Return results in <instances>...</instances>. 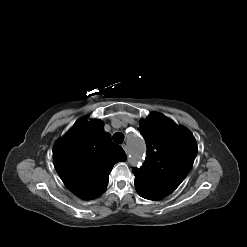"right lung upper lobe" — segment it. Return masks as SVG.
I'll use <instances>...</instances> for the list:
<instances>
[{"label":"right lung upper lobe","mask_w":247,"mask_h":247,"mask_svg":"<svg viewBox=\"0 0 247 247\" xmlns=\"http://www.w3.org/2000/svg\"><path fill=\"white\" fill-rule=\"evenodd\" d=\"M103 127L99 119H79L54 145L55 169L66 187L81 199L101 195L114 164L126 160L123 149Z\"/></svg>","instance_id":"1"}]
</instances>
